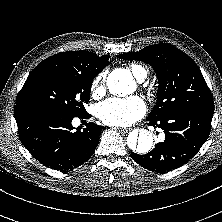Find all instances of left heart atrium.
<instances>
[{"label":"left heart atrium","instance_id":"1","mask_svg":"<svg viewBox=\"0 0 222 222\" xmlns=\"http://www.w3.org/2000/svg\"><path fill=\"white\" fill-rule=\"evenodd\" d=\"M146 112L144 101L138 96L109 98L96 108V114L106 124L128 126L139 120Z\"/></svg>","mask_w":222,"mask_h":222}]
</instances>
